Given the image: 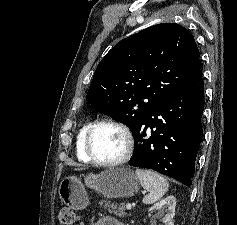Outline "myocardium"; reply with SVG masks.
<instances>
[{"instance_id": "f54148a6", "label": "myocardium", "mask_w": 237, "mask_h": 225, "mask_svg": "<svg viewBox=\"0 0 237 225\" xmlns=\"http://www.w3.org/2000/svg\"><path fill=\"white\" fill-rule=\"evenodd\" d=\"M103 125H109V126H113L117 128L123 134L125 138V142H126L125 150L123 154L117 159L109 160V161L101 160V159H98L92 151L91 141H92L93 133L99 126H103ZM84 150H85L86 155L90 159V161L93 162L94 164L105 166V167L119 166L127 162L133 153V150H134L133 135L130 129L119 121H116L111 118L100 119L92 123L90 127L88 128L85 135V140H84Z\"/></svg>"}]
</instances>
